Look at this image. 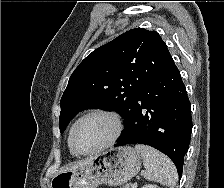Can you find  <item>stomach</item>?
Masks as SVG:
<instances>
[{"instance_id": "stomach-1", "label": "stomach", "mask_w": 224, "mask_h": 188, "mask_svg": "<svg viewBox=\"0 0 224 188\" xmlns=\"http://www.w3.org/2000/svg\"><path fill=\"white\" fill-rule=\"evenodd\" d=\"M141 168V155L132 147L111 148L82 167L55 175L50 188H96L118 186L133 178Z\"/></svg>"}]
</instances>
